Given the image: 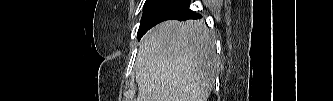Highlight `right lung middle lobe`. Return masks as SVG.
Returning <instances> with one entry per match:
<instances>
[{
    "instance_id": "dd1d6c3e",
    "label": "right lung middle lobe",
    "mask_w": 333,
    "mask_h": 101,
    "mask_svg": "<svg viewBox=\"0 0 333 101\" xmlns=\"http://www.w3.org/2000/svg\"><path fill=\"white\" fill-rule=\"evenodd\" d=\"M149 2H151V0H146L145 4H148Z\"/></svg>"
}]
</instances>
